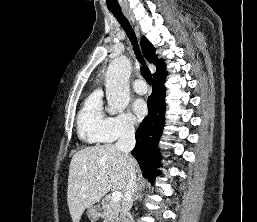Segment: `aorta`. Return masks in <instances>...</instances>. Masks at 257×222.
I'll return each mask as SVG.
<instances>
[{
	"label": "aorta",
	"mask_w": 257,
	"mask_h": 222,
	"mask_svg": "<svg viewBox=\"0 0 257 222\" xmlns=\"http://www.w3.org/2000/svg\"><path fill=\"white\" fill-rule=\"evenodd\" d=\"M131 74V62L125 56L114 59L107 68L106 97L111 114L123 112L129 104L130 92L128 80Z\"/></svg>",
	"instance_id": "aorta-1"
}]
</instances>
